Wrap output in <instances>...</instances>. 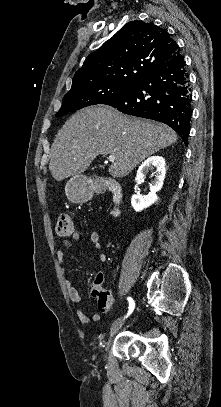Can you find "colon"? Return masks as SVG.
<instances>
[{"label": "colon", "instance_id": "1", "mask_svg": "<svg viewBox=\"0 0 221 407\" xmlns=\"http://www.w3.org/2000/svg\"><path fill=\"white\" fill-rule=\"evenodd\" d=\"M57 234L61 237L71 236L74 232L73 221L68 214H61L56 225ZM92 292L98 296V308L101 312L107 313L111 309V301L105 296L101 283L91 285Z\"/></svg>", "mask_w": 221, "mask_h": 407}]
</instances>
